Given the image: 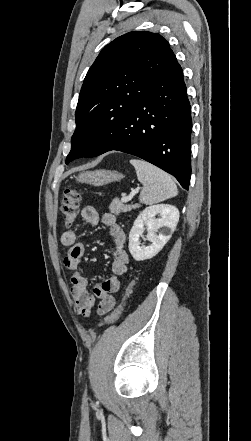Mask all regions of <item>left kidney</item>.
Returning <instances> with one entry per match:
<instances>
[{"mask_svg":"<svg viewBox=\"0 0 251 441\" xmlns=\"http://www.w3.org/2000/svg\"><path fill=\"white\" fill-rule=\"evenodd\" d=\"M159 215L160 218H155ZM179 221V210L169 204H158L145 208L136 218L129 233V251L136 261H144L158 254L170 240ZM147 228L149 246H140L139 238ZM159 234H156L158 230Z\"/></svg>","mask_w":251,"mask_h":441,"instance_id":"5707ae66","label":"left kidney"}]
</instances>
